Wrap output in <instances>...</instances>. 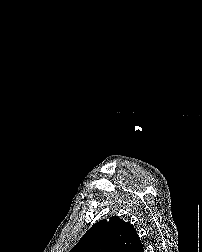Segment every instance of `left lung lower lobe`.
I'll return each instance as SVG.
<instances>
[{
  "label": "left lung lower lobe",
  "mask_w": 202,
  "mask_h": 252,
  "mask_svg": "<svg viewBox=\"0 0 202 252\" xmlns=\"http://www.w3.org/2000/svg\"><path fill=\"white\" fill-rule=\"evenodd\" d=\"M135 252H144V248H143L141 240H140L139 245H138Z\"/></svg>",
  "instance_id": "0a47b994"
}]
</instances>
